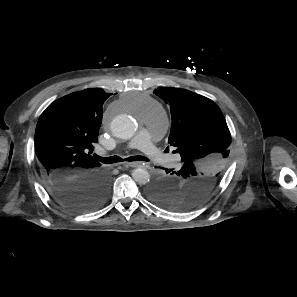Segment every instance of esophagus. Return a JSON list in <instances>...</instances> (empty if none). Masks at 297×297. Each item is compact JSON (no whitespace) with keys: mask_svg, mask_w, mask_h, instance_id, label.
<instances>
[{"mask_svg":"<svg viewBox=\"0 0 297 297\" xmlns=\"http://www.w3.org/2000/svg\"><path fill=\"white\" fill-rule=\"evenodd\" d=\"M142 165L143 164L140 162H130L126 164V166H129V167H141Z\"/></svg>","mask_w":297,"mask_h":297,"instance_id":"obj_1","label":"esophagus"}]
</instances>
